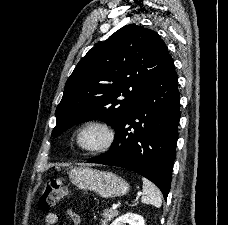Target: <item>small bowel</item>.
Instances as JSON below:
<instances>
[{
  "mask_svg": "<svg viewBox=\"0 0 228 225\" xmlns=\"http://www.w3.org/2000/svg\"><path fill=\"white\" fill-rule=\"evenodd\" d=\"M66 214H67V218L70 220V222L73 225L80 224V217L75 211L69 209L67 210ZM58 221H59V217H58V214L55 212H49L44 217L45 225H58Z\"/></svg>",
  "mask_w": 228,
  "mask_h": 225,
  "instance_id": "1",
  "label": "small bowel"
}]
</instances>
